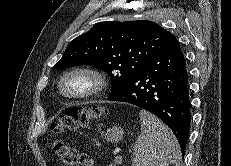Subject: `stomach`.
I'll list each match as a JSON object with an SVG mask.
<instances>
[{"instance_id":"obj_1","label":"stomach","mask_w":231,"mask_h":166,"mask_svg":"<svg viewBox=\"0 0 231 166\" xmlns=\"http://www.w3.org/2000/svg\"><path fill=\"white\" fill-rule=\"evenodd\" d=\"M124 130L121 127L114 126L105 132L103 135L107 141L118 142L123 138Z\"/></svg>"}]
</instances>
